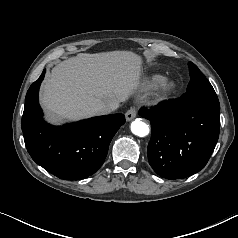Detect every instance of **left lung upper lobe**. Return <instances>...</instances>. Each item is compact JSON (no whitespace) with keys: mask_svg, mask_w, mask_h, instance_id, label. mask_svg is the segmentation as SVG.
Here are the masks:
<instances>
[{"mask_svg":"<svg viewBox=\"0 0 238 238\" xmlns=\"http://www.w3.org/2000/svg\"><path fill=\"white\" fill-rule=\"evenodd\" d=\"M188 66L191 79L186 93L179 98L181 107L200 101H218L212 85L198 67L192 62H189Z\"/></svg>","mask_w":238,"mask_h":238,"instance_id":"1","label":"left lung upper lobe"}]
</instances>
